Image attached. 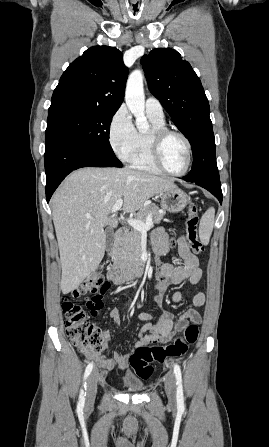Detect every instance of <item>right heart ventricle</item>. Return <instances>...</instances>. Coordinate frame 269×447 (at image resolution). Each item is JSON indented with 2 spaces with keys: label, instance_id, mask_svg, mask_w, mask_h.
I'll list each match as a JSON object with an SVG mask.
<instances>
[{
  "label": "right heart ventricle",
  "instance_id": "right-heart-ventricle-1",
  "mask_svg": "<svg viewBox=\"0 0 269 447\" xmlns=\"http://www.w3.org/2000/svg\"><path fill=\"white\" fill-rule=\"evenodd\" d=\"M148 114V113H147ZM153 128L165 127L164 119H157L148 114ZM136 131L134 149L129 157L131 167L151 172H162V170L153 162L149 146V133L152 130Z\"/></svg>",
  "mask_w": 269,
  "mask_h": 447
}]
</instances>
